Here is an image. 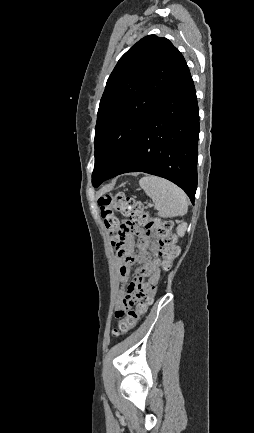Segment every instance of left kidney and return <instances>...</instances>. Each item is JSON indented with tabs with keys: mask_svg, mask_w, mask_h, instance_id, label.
Instances as JSON below:
<instances>
[{
	"mask_svg": "<svg viewBox=\"0 0 254 433\" xmlns=\"http://www.w3.org/2000/svg\"><path fill=\"white\" fill-rule=\"evenodd\" d=\"M187 229V223L182 222L178 227H177V234L182 237L185 234V231Z\"/></svg>",
	"mask_w": 254,
	"mask_h": 433,
	"instance_id": "1",
	"label": "left kidney"
}]
</instances>
